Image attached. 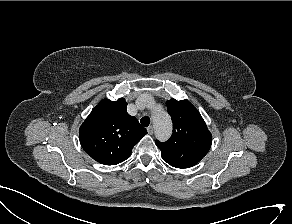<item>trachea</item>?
Returning a JSON list of instances; mask_svg holds the SVG:
<instances>
[{
    "label": "trachea",
    "instance_id": "obj_1",
    "mask_svg": "<svg viewBox=\"0 0 292 224\" xmlns=\"http://www.w3.org/2000/svg\"><path fill=\"white\" fill-rule=\"evenodd\" d=\"M141 124L144 126V127H147L149 126L150 124V118L145 116V117H142L141 120H140Z\"/></svg>",
    "mask_w": 292,
    "mask_h": 224
}]
</instances>
